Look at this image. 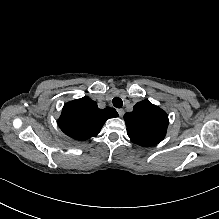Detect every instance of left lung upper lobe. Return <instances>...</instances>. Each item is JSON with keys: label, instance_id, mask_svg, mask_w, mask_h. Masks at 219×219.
Masks as SVG:
<instances>
[{"label": "left lung upper lobe", "instance_id": "obj_1", "mask_svg": "<svg viewBox=\"0 0 219 219\" xmlns=\"http://www.w3.org/2000/svg\"><path fill=\"white\" fill-rule=\"evenodd\" d=\"M131 141L143 147L158 144L166 135L168 115L149 100L138 102L131 113L124 115Z\"/></svg>", "mask_w": 219, "mask_h": 219}]
</instances>
